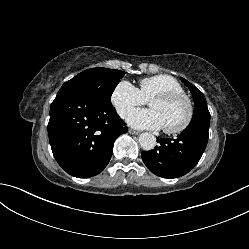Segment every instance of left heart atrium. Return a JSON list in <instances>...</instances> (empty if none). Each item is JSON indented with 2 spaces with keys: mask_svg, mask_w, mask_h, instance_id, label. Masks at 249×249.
<instances>
[{
  "mask_svg": "<svg viewBox=\"0 0 249 249\" xmlns=\"http://www.w3.org/2000/svg\"><path fill=\"white\" fill-rule=\"evenodd\" d=\"M127 121L132 127L138 129L157 130L163 127L160 116L152 109H135L129 114Z\"/></svg>",
  "mask_w": 249,
  "mask_h": 249,
  "instance_id": "1",
  "label": "left heart atrium"
}]
</instances>
